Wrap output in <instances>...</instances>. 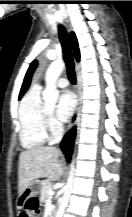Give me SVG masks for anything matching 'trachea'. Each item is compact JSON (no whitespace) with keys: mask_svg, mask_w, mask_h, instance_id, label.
<instances>
[{"mask_svg":"<svg viewBox=\"0 0 132 217\" xmlns=\"http://www.w3.org/2000/svg\"><path fill=\"white\" fill-rule=\"evenodd\" d=\"M59 38L61 41L62 49H63V57L67 67V75L72 84L76 83L75 71H74V63L73 56L69 44V39L67 35V31L64 26H58Z\"/></svg>","mask_w":132,"mask_h":217,"instance_id":"trachea-1","label":"trachea"}]
</instances>
